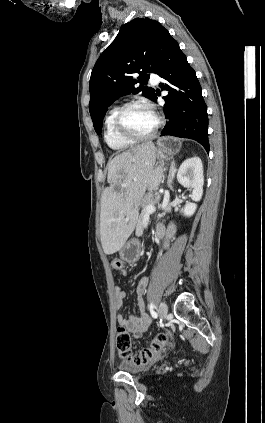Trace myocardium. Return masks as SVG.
I'll list each match as a JSON object with an SVG mask.
<instances>
[{"mask_svg":"<svg viewBox=\"0 0 265 423\" xmlns=\"http://www.w3.org/2000/svg\"><path fill=\"white\" fill-rule=\"evenodd\" d=\"M137 107H143V108L149 109L151 112H153V114L156 117L155 127L148 134L135 135V134L131 133L125 126V117H126L127 113L130 110H132L133 108H137ZM161 125H162V119L158 115V113L155 111L154 107L151 104L144 102V101H140V100L132 101V102H129V103L125 104L124 106H122L121 109L119 110V112L117 113V115L115 117V122H114L115 130H116L117 134L121 138H123L127 141H130V142H134V143L152 139L157 134V132L159 131Z\"/></svg>","mask_w":265,"mask_h":423,"instance_id":"f54148a6","label":"myocardium"}]
</instances>
